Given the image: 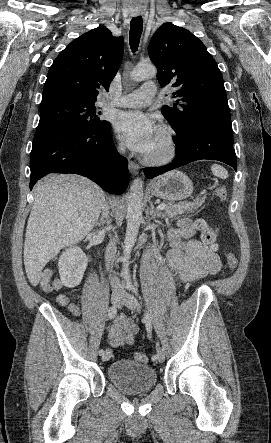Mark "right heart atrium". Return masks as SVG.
<instances>
[{
    "label": "right heart atrium",
    "instance_id": "1",
    "mask_svg": "<svg viewBox=\"0 0 271 443\" xmlns=\"http://www.w3.org/2000/svg\"><path fill=\"white\" fill-rule=\"evenodd\" d=\"M117 149H118L119 151H123V150H124V146H123L121 143H118V144H117Z\"/></svg>",
    "mask_w": 271,
    "mask_h": 443
}]
</instances>
